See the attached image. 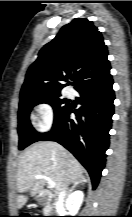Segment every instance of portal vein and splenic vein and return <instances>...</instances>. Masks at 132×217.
Here are the masks:
<instances>
[{
    "instance_id": "1",
    "label": "portal vein and splenic vein",
    "mask_w": 132,
    "mask_h": 217,
    "mask_svg": "<svg viewBox=\"0 0 132 217\" xmlns=\"http://www.w3.org/2000/svg\"><path fill=\"white\" fill-rule=\"evenodd\" d=\"M35 179H45V180H47L50 188H54L55 187V182L52 181L49 177H47L45 175H36Z\"/></svg>"
}]
</instances>
